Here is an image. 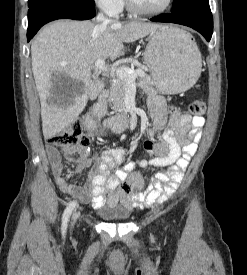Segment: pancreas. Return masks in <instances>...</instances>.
I'll return each mask as SVG.
<instances>
[{
    "instance_id": "1",
    "label": "pancreas",
    "mask_w": 247,
    "mask_h": 275,
    "mask_svg": "<svg viewBox=\"0 0 247 275\" xmlns=\"http://www.w3.org/2000/svg\"><path fill=\"white\" fill-rule=\"evenodd\" d=\"M137 85L147 95H152L156 93L154 82L151 76L148 74L141 76L138 80ZM128 87L129 84L122 79H117L112 82V86L108 96V102L113 104L112 109L114 111L126 114L125 97L128 91Z\"/></svg>"
}]
</instances>
